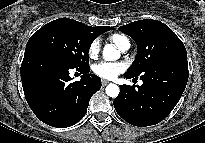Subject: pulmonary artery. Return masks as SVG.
<instances>
[{"mask_svg":"<svg viewBox=\"0 0 205 143\" xmlns=\"http://www.w3.org/2000/svg\"><path fill=\"white\" fill-rule=\"evenodd\" d=\"M130 48V42H127L120 50L126 52Z\"/></svg>","mask_w":205,"mask_h":143,"instance_id":"1","label":"pulmonary artery"}]
</instances>
